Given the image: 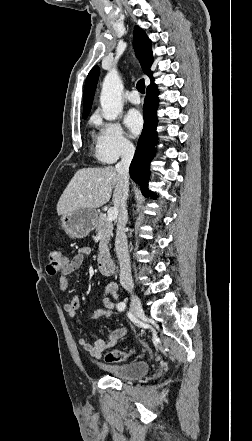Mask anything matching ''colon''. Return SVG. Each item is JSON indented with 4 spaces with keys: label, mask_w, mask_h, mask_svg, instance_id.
<instances>
[{
    "label": "colon",
    "mask_w": 252,
    "mask_h": 441,
    "mask_svg": "<svg viewBox=\"0 0 252 441\" xmlns=\"http://www.w3.org/2000/svg\"><path fill=\"white\" fill-rule=\"evenodd\" d=\"M68 258L59 249H54L49 252L48 262L46 270L49 274L54 275L60 271H63L68 265ZM113 314V308L110 306H103L92 314V318L105 320L109 319ZM129 356V353L113 350L104 354V359L108 363H119L125 361Z\"/></svg>",
    "instance_id": "obj_1"
}]
</instances>
